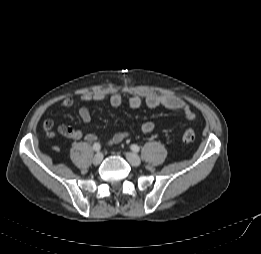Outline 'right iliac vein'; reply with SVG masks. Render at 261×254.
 <instances>
[{
    "instance_id": "63e3f726",
    "label": "right iliac vein",
    "mask_w": 261,
    "mask_h": 254,
    "mask_svg": "<svg viewBox=\"0 0 261 254\" xmlns=\"http://www.w3.org/2000/svg\"><path fill=\"white\" fill-rule=\"evenodd\" d=\"M103 160V154L98 152L92 159L94 165H99Z\"/></svg>"
}]
</instances>
